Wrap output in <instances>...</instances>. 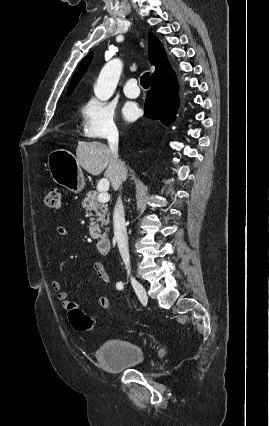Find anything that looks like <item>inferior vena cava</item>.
I'll return each mask as SVG.
<instances>
[{
    "instance_id": "1",
    "label": "inferior vena cava",
    "mask_w": 269,
    "mask_h": 426,
    "mask_svg": "<svg viewBox=\"0 0 269 426\" xmlns=\"http://www.w3.org/2000/svg\"><path fill=\"white\" fill-rule=\"evenodd\" d=\"M118 131H112L108 137V143L114 158L116 159L117 166L120 170H124V164L118 158ZM114 235L117 241L119 252L128 269L130 267L129 249H128V236L125 222L124 207L122 204L121 196L118 197L113 214ZM129 271V270H128Z\"/></svg>"
}]
</instances>
